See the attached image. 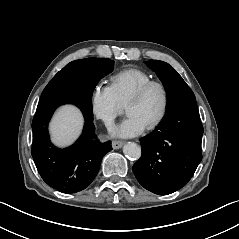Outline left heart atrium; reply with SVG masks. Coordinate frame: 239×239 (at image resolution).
I'll return each mask as SVG.
<instances>
[{
	"label": "left heart atrium",
	"mask_w": 239,
	"mask_h": 239,
	"mask_svg": "<svg viewBox=\"0 0 239 239\" xmlns=\"http://www.w3.org/2000/svg\"><path fill=\"white\" fill-rule=\"evenodd\" d=\"M146 124L135 114H128L126 119L114 129V134L120 137H133L146 129Z\"/></svg>",
	"instance_id": "left-heart-atrium-1"
}]
</instances>
